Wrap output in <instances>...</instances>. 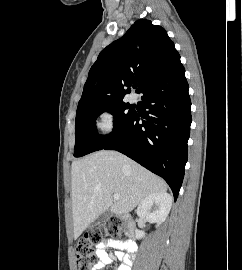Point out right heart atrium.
Masks as SVG:
<instances>
[{
  "label": "right heart atrium",
  "instance_id": "d8ad5b80",
  "mask_svg": "<svg viewBox=\"0 0 242 270\" xmlns=\"http://www.w3.org/2000/svg\"><path fill=\"white\" fill-rule=\"evenodd\" d=\"M98 127L104 134H109L115 127V116L112 112L104 110L99 114Z\"/></svg>",
  "mask_w": 242,
  "mask_h": 270
}]
</instances>
